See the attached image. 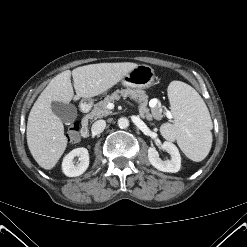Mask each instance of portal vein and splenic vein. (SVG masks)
Wrapping results in <instances>:
<instances>
[{"instance_id":"18ae733b","label":"portal vein and splenic vein","mask_w":247,"mask_h":247,"mask_svg":"<svg viewBox=\"0 0 247 247\" xmlns=\"http://www.w3.org/2000/svg\"><path fill=\"white\" fill-rule=\"evenodd\" d=\"M166 116H167V118H169V119H172L173 118V115L171 114V112L170 111H166Z\"/></svg>"}]
</instances>
